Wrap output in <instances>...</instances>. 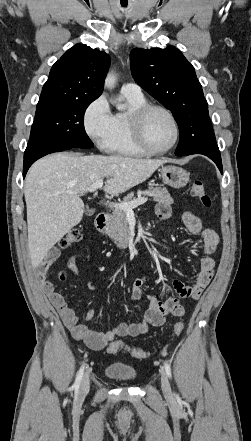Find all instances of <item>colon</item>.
Returning <instances> with one entry per match:
<instances>
[{
	"label": "colon",
	"mask_w": 251,
	"mask_h": 441,
	"mask_svg": "<svg viewBox=\"0 0 251 441\" xmlns=\"http://www.w3.org/2000/svg\"><path fill=\"white\" fill-rule=\"evenodd\" d=\"M190 194L193 197L197 198L200 201V203L202 204V206H204L206 208L211 206V198L207 194V192L203 186V183L201 181L196 180V181L192 182L191 187H190ZM81 238H82L81 231L79 229H72L61 238V240L58 243V247L59 248H67L69 246H72V245L78 243L81 240ZM183 329H184L183 322L175 323L173 330H172V335L174 337L179 336L182 333ZM120 350H125L136 358H144V357L148 356V352L146 350L139 348V347L127 345L120 340L113 341L108 346V352L111 354H115V353L119 352Z\"/></svg>",
	"instance_id": "colon-1"
}]
</instances>
